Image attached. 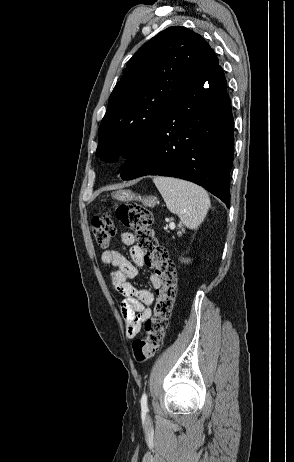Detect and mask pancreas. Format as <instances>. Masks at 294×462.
Returning a JSON list of instances; mask_svg holds the SVG:
<instances>
[{"mask_svg": "<svg viewBox=\"0 0 294 462\" xmlns=\"http://www.w3.org/2000/svg\"><path fill=\"white\" fill-rule=\"evenodd\" d=\"M182 232H184V229L182 228V231L179 232V234H181Z\"/></svg>", "mask_w": 294, "mask_h": 462, "instance_id": "cf45deb5", "label": "pancreas"}]
</instances>
